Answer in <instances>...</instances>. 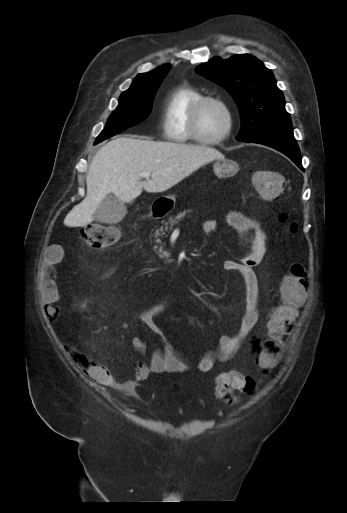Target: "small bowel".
<instances>
[{"label": "small bowel", "mask_w": 347, "mask_h": 513, "mask_svg": "<svg viewBox=\"0 0 347 513\" xmlns=\"http://www.w3.org/2000/svg\"><path fill=\"white\" fill-rule=\"evenodd\" d=\"M227 225L244 239L247 248L242 261L230 260L223 264L226 271L235 272L242 281L245 295V307L238 327L235 332L220 337L218 346L214 350L205 351L197 362V369L200 372L211 371L217 362H227L235 357L242 350L249 351L253 344L249 342L252 329L259 319L258 311V278L255 268L262 262L268 244L264 230L260 223L238 211H229L226 214ZM218 224L213 219L203 222L202 229L206 234H212L217 230ZM60 248L53 247L42 261L37 275V288L45 303V311L49 318L53 319L59 315L58 303L60 294L55 281V267L60 262ZM113 268L106 271L103 276H109ZM76 307L85 310L88 301L81 299ZM170 307L168 301L153 305L140 314V320L155 334L163 339V347L152 352L149 364L135 362L134 376L131 379L120 383L122 387L133 389L139 382L146 379L149 373H183L189 369L188 363L183 360L173 346L166 340L157 318L163 315ZM132 345L138 354L146 352V344L140 337L132 340ZM80 368L91 379L99 384L107 385L113 383L111 376L106 373L103 366L98 362H91L88 359L78 358Z\"/></svg>", "instance_id": "c3829d8e"}]
</instances>
